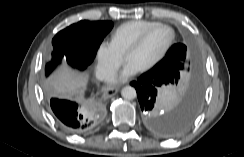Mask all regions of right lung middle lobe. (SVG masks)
<instances>
[{
	"label": "right lung middle lobe",
	"instance_id": "obj_1",
	"mask_svg": "<svg viewBox=\"0 0 244 157\" xmlns=\"http://www.w3.org/2000/svg\"><path fill=\"white\" fill-rule=\"evenodd\" d=\"M112 27L111 21L83 20L60 31L52 40L53 58L46 65V76L64 56L71 66L85 69L93 61L103 38ZM85 108L96 116L101 115L102 109L97 104H87Z\"/></svg>",
	"mask_w": 244,
	"mask_h": 157
}]
</instances>
